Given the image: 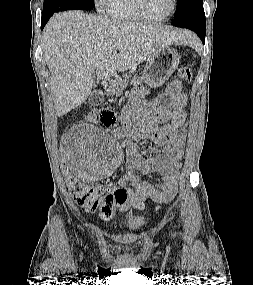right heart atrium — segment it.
I'll use <instances>...</instances> for the list:
<instances>
[{
  "instance_id": "1",
  "label": "right heart atrium",
  "mask_w": 253,
  "mask_h": 285,
  "mask_svg": "<svg viewBox=\"0 0 253 285\" xmlns=\"http://www.w3.org/2000/svg\"><path fill=\"white\" fill-rule=\"evenodd\" d=\"M95 2H96V4H97L98 6H103L105 0H95Z\"/></svg>"
}]
</instances>
